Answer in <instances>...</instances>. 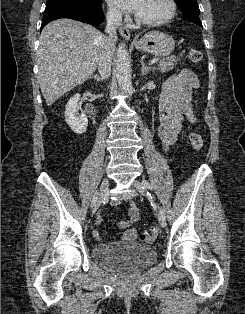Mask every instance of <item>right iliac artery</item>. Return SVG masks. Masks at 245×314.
Returning <instances> with one entry per match:
<instances>
[{
	"label": "right iliac artery",
	"mask_w": 245,
	"mask_h": 314,
	"mask_svg": "<svg viewBox=\"0 0 245 314\" xmlns=\"http://www.w3.org/2000/svg\"><path fill=\"white\" fill-rule=\"evenodd\" d=\"M96 197H94L93 201H92V207L94 206L95 202H96Z\"/></svg>",
	"instance_id": "obj_1"
}]
</instances>
